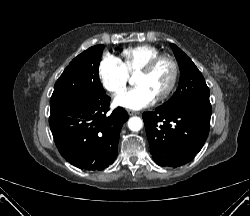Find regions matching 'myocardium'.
<instances>
[{
	"mask_svg": "<svg viewBox=\"0 0 250 216\" xmlns=\"http://www.w3.org/2000/svg\"><path fill=\"white\" fill-rule=\"evenodd\" d=\"M162 62H166L170 66L171 75H170V79H169L167 86L160 93L156 95L157 100H162L166 98L174 89L176 82H177V78H178V72H179L177 62L171 56L160 55L152 59L142 69H140L136 73L137 75L149 74Z\"/></svg>",
	"mask_w": 250,
	"mask_h": 216,
	"instance_id": "myocardium-1",
	"label": "myocardium"
}]
</instances>
